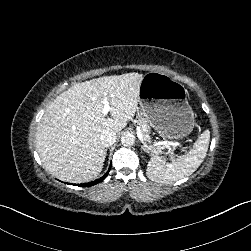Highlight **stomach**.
I'll use <instances>...</instances> for the list:
<instances>
[{"label": "stomach", "instance_id": "obj_1", "mask_svg": "<svg viewBox=\"0 0 251 251\" xmlns=\"http://www.w3.org/2000/svg\"><path fill=\"white\" fill-rule=\"evenodd\" d=\"M137 100L143 116L162 135L180 137L195 124L186 89L170 75L148 72L140 83Z\"/></svg>", "mask_w": 251, "mask_h": 251}]
</instances>
